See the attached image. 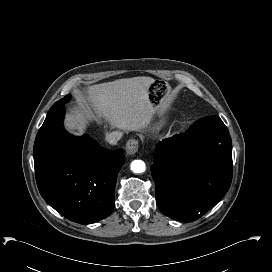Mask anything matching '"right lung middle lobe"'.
Returning a JSON list of instances; mask_svg holds the SVG:
<instances>
[{
	"mask_svg": "<svg viewBox=\"0 0 272 272\" xmlns=\"http://www.w3.org/2000/svg\"><path fill=\"white\" fill-rule=\"evenodd\" d=\"M69 99H70V95H66L61 100L57 101L52 107L58 106V105H61V104H66L69 101Z\"/></svg>",
	"mask_w": 272,
	"mask_h": 272,
	"instance_id": "dd1d6c3e",
	"label": "right lung middle lobe"
}]
</instances>
